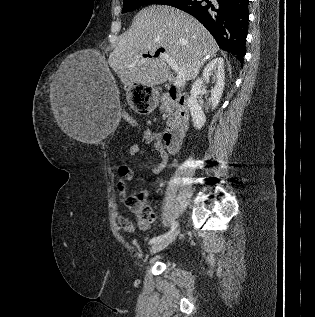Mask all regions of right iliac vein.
Listing matches in <instances>:
<instances>
[{
  "mask_svg": "<svg viewBox=\"0 0 315 317\" xmlns=\"http://www.w3.org/2000/svg\"><path fill=\"white\" fill-rule=\"evenodd\" d=\"M178 230L170 234L168 237L156 242L150 249V254L153 255L171 244L177 237Z\"/></svg>",
  "mask_w": 315,
  "mask_h": 317,
  "instance_id": "63e3f726",
  "label": "right iliac vein"
}]
</instances>
